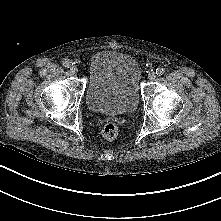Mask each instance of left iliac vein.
<instances>
[{"label": "left iliac vein", "instance_id": "obj_1", "mask_svg": "<svg viewBox=\"0 0 221 221\" xmlns=\"http://www.w3.org/2000/svg\"><path fill=\"white\" fill-rule=\"evenodd\" d=\"M156 77H157V75H156L155 72H150V73L148 74V78H149V80H151V81L155 80Z\"/></svg>", "mask_w": 221, "mask_h": 221}]
</instances>
